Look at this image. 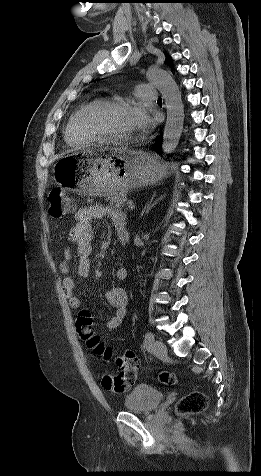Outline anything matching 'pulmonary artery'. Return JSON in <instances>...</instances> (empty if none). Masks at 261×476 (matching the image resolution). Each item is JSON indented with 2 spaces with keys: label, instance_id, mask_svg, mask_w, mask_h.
Masks as SVG:
<instances>
[{
  "label": "pulmonary artery",
  "instance_id": "obj_1",
  "mask_svg": "<svg viewBox=\"0 0 261 476\" xmlns=\"http://www.w3.org/2000/svg\"><path fill=\"white\" fill-rule=\"evenodd\" d=\"M136 94L137 96L145 101H155L157 100V93L156 89L151 84H139L136 87Z\"/></svg>",
  "mask_w": 261,
  "mask_h": 476
}]
</instances>
